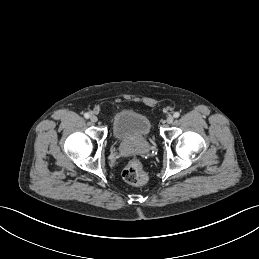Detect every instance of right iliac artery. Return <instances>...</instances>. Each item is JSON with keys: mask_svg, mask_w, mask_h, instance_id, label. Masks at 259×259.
Wrapping results in <instances>:
<instances>
[{"mask_svg": "<svg viewBox=\"0 0 259 259\" xmlns=\"http://www.w3.org/2000/svg\"><path fill=\"white\" fill-rule=\"evenodd\" d=\"M84 117H85L86 119H88V118L90 117L89 113H85V114H84Z\"/></svg>", "mask_w": 259, "mask_h": 259, "instance_id": "right-iliac-artery-1", "label": "right iliac artery"}]
</instances>
